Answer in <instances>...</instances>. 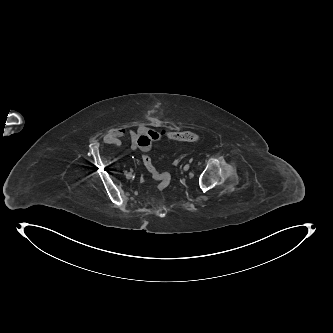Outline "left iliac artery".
Instances as JSON below:
<instances>
[{"instance_id":"44dca946","label":"left iliac artery","mask_w":333,"mask_h":333,"mask_svg":"<svg viewBox=\"0 0 333 333\" xmlns=\"http://www.w3.org/2000/svg\"><path fill=\"white\" fill-rule=\"evenodd\" d=\"M192 160H193V159L191 158L189 162H192Z\"/></svg>"}]
</instances>
